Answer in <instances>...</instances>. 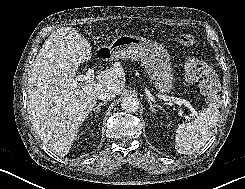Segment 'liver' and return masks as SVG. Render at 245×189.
Wrapping results in <instances>:
<instances>
[{"instance_id":"obj_1","label":"liver","mask_w":245,"mask_h":189,"mask_svg":"<svg viewBox=\"0 0 245 189\" xmlns=\"http://www.w3.org/2000/svg\"><path fill=\"white\" fill-rule=\"evenodd\" d=\"M91 56L88 41L76 29L62 27L48 37L32 64L27 85L29 119L43 144L59 156L68 154L99 92L111 89L119 95L125 87L118 62L95 80L79 83L78 67Z\"/></svg>"}]
</instances>
